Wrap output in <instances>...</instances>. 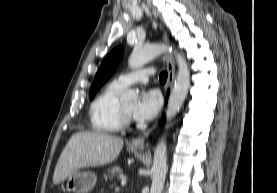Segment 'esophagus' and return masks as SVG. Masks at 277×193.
I'll list each match as a JSON object with an SVG mask.
<instances>
[{"mask_svg":"<svg viewBox=\"0 0 277 193\" xmlns=\"http://www.w3.org/2000/svg\"><path fill=\"white\" fill-rule=\"evenodd\" d=\"M163 41L168 44V38L166 35L163 36ZM164 60L166 62L167 72H168V78L166 83V90L172 89L174 80H175V66H174V60L171 53H165ZM157 125V122L153 125V127L147 131H145L143 134L139 135L135 139L132 140V145L135 147H141L143 148L145 146V142L147 137L149 136L152 129H154Z\"/></svg>","mask_w":277,"mask_h":193,"instance_id":"obj_1","label":"esophagus"}]
</instances>
